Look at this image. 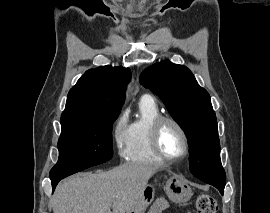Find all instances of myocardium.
Returning a JSON list of instances; mask_svg holds the SVG:
<instances>
[{
    "instance_id": "obj_1",
    "label": "myocardium",
    "mask_w": 270,
    "mask_h": 213,
    "mask_svg": "<svg viewBox=\"0 0 270 213\" xmlns=\"http://www.w3.org/2000/svg\"><path fill=\"white\" fill-rule=\"evenodd\" d=\"M166 124L174 125L178 129V131L180 132L183 138L184 151L182 155H180L179 157H176V158L169 157L166 154H164V152L161 149L160 134L163 127ZM150 146H151L152 151L156 154V156H158L162 161H165L168 163H175V162L184 160L189 155V152H190V141H189V137L185 128L178 120L170 116L161 115L157 119H155L150 129Z\"/></svg>"
}]
</instances>
